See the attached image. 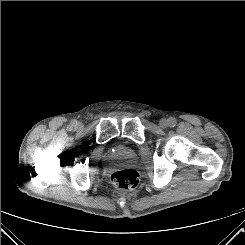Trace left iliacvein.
Here are the masks:
<instances>
[{
	"label": "left iliac vein",
	"mask_w": 245,
	"mask_h": 245,
	"mask_svg": "<svg viewBox=\"0 0 245 245\" xmlns=\"http://www.w3.org/2000/svg\"><path fill=\"white\" fill-rule=\"evenodd\" d=\"M159 125L160 127L162 128H166L168 126V120L165 119V118H162L160 121H159Z\"/></svg>",
	"instance_id": "1"
}]
</instances>
